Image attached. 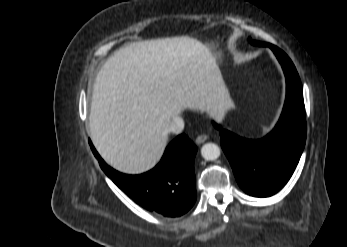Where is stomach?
I'll return each instance as SVG.
<instances>
[{
	"label": "stomach",
	"instance_id": "0dacf381",
	"mask_svg": "<svg viewBox=\"0 0 347 247\" xmlns=\"http://www.w3.org/2000/svg\"><path fill=\"white\" fill-rule=\"evenodd\" d=\"M208 48L210 49L215 59H218V60L221 59V51L217 50V46L215 44L208 45Z\"/></svg>",
	"mask_w": 347,
	"mask_h": 247
}]
</instances>
